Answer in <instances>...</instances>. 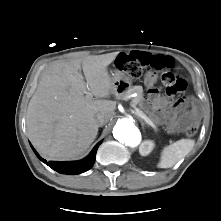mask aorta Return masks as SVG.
<instances>
[{
	"instance_id": "762f6f07",
	"label": "aorta",
	"mask_w": 221,
	"mask_h": 221,
	"mask_svg": "<svg viewBox=\"0 0 221 221\" xmlns=\"http://www.w3.org/2000/svg\"><path fill=\"white\" fill-rule=\"evenodd\" d=\"M113 136L122 144L137 146L141 141V134L134 123L127 118L117 121L113 129Z\"/></svg>"
}]
</instances>
